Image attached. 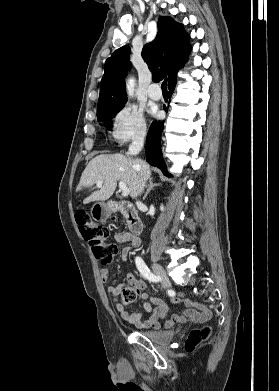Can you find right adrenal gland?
Wrapping results in <instances>:
<instances>
[{
    "label": "right adrenal gland",
    "instance_id": "2a0ac1e0",
    "mask_svg": "<svg viewBox=\"0 0 279 391\" xmlns=\"http://www.w3.org/2000/svg\"><path fill=\"white\" fill-rule=\"evenodd\" d=\"M155 186H160V184H158V183H153V180L150 179V180H149L148 189H147V191H146V193H145L143 199H145V198L148 196V194L151 192V190H152Z\"/></svg>",
    "mask_w": 279,
    "mask_h": 391
}]
</instances>
